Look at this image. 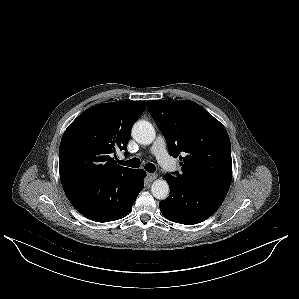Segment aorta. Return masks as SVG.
<instances>
[{"label": "aorta", "instance_id": "1", "mask_svg": "<svg viewBox=\"0 0 299 299\" xmlns=\"http://www.w3.org/2000/svg\"><path fill=\"white\" fill-rule=\"evenodd\" d=\"M133 138L140 144H151L156 136L153 125L145 120L137 121L132 128ZM152 195L159 200H164L169 195V185L165 180H155L151 185Z\"/></svg>", "mask_w": 299, "mask_h": 299}]
</instances>
